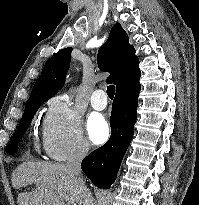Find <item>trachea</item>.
<instances>
[{
    "instance_id": "trachea-1",
    "label": "trachea",
    "mask_w": 199,
    "mask_h": 205,
    "mask_svg": "<svg viewBox=\"0 0 199 205\" xmlns=\"http://www.w3.org/2000/svg\"><path fill=\"white\" fill-rule=\"evenodd\" d=\"M114 94H115V86L109 85L107 87V95L109 96L110 99H113L114 98Z\"/></svg>"
}]
</instances>
